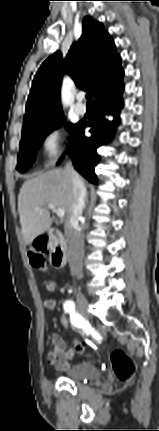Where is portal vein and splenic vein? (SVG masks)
<instances>
[{"label": "portal vein and splenic vein", "instance_id": "portal-vein-and-splenic-vein-1", "mask_svg": "<svg viewBox=\"0 0 159 431\" xmlns=\"http://www.w3.org/2000/svg\"><path fill=\"white\" fill-rule=\"evenodd\" d=\"M48 208L53 210L59 218H63L65 215V211L62 208H56L54 204H48Z\"/></svg>", "mask_w": 159, "mask_h": 431}]
</instances>
